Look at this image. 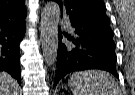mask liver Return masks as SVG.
I'll return each mask as SVG.
<instances>
[{
	"mask_svg": "<svg viewBox=\"0 0 135 95\" xmlns=\"http://www.w3.org/2000/svg\"><path fill=\"white\" fill-rule=\"evenodd\" d=\"M19 86L15 79L5 72H0V95H18Z\"/></svg>",
	"mask_w": 135,
	"mask_h": 95,
	"instance_id": "obj_1",
	"label": "liver"
}]
</instances>
